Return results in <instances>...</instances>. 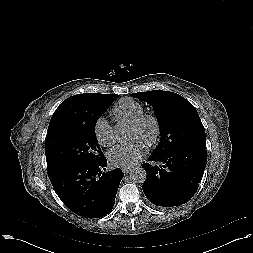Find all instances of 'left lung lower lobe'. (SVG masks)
Returning a JSON list of instances; mask_svg holds the SVG:
<instances>
[{
    "mask_svg": "<svg viewBox=\"0 0 253 253\" xmlns=\"http://www.w3.org/2000/svg\"><path fill=\"white\" fill-rule=\"evenodd\" d=\"M151 164L142 167L147 173L143 192L147 199L161 207L188 202L196 193L207 163V150L195 145H182L158 154Z\"/></svg>",
    "mask_w": 253,
    "mask_h": 253,
    "instance_id": "obj_1",
    "label": "left lung lower lobe"
}]
</instances>
